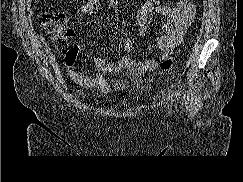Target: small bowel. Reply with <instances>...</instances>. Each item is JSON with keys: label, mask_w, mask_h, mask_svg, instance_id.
I'll use <instances>...</instances> for the list:
<instances>
[{"label": "small bowel", "mask_w": 243, "mask_h": 182, "mask_svg": "<svg viewBox=\"0 0 243 182\" xmlns=\"http://www.w3.org/2000/svg\"><path fill=\"white\" fill-rule=\"evenodd\" d=\"M100 0H87L80 7V13L83 15H93L100 9ZM152 13L164 16L167 22L162 26L163 34L154 38L151 42L146 43L147 51L154 47L161 50L162 56H169L175 47L183 40L188 28L193 23L196 16L195 5L189 0H179L176 5L168 6L155 4L147 0L139 10L134 30L137 34L143 35L146 29L147 21ZM78 46L73 48L70 56L65 57V66L69 76L81 87L85 89H97L101 94L107 95L111 90L109 77L125 74L126 78H118L113 85L118 90H126L129 81L134 85L142 83V76L158 67V62L153 59L136 61L131 55L133 49L132 41L127 38L124 42L126 53L117 63H108L103 58H96L93 62L97 74L94 76L81 73L76 66V55Z\"/></svg>", "instance_id": "obj_1"}]
</instances>
